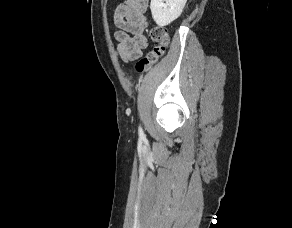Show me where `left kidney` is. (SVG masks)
<instances>
[{"mask_svg": "<svg viewBox=\"0 0 292 228\" xmlns=\"http://www.w3.org/2000/svg\"><path fill=\"white\" fill-rule=\"evenodd\" d=\"M187 0H151L150 9L157 25L166 26L177 19Z\"/></svg>", "mask_w": 292, "mask_h": 228, "instance_id": "1", "label": "left kidney"}]
</instances>
